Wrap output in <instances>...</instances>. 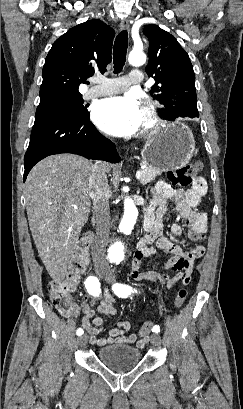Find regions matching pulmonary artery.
<instances>
[{
    "mask_svg": "<svg viewBox=\"0 0 243 409\" xmlns=\"http://www.w3.org/2000/svg\"><path fill=\"white\" fill-rule=\"evenodd\" d=\"M143 78L140 70H132L127 76L117 78L96 77V85L89 88L85 93V97L96 98L105 95L115 94L126 90L131 84L141 83Z\"/></svg>",
    "mask_w": 243,
    "mask_h": 409,
    "instance_id": "obj_1",
    "label": "pulmonary artery"
}]
</instances>
